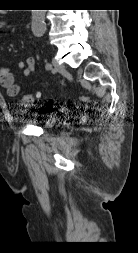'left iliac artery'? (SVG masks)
<instances>
[{"instance_id":"44dca946","label":"left iliac artery","mask_w":138,"mask_h":253,"mask_svg":"<svg viewBox=\"0 0 138 253\" xmlns=\"http://www.w3.org/2000/svg\"><path fill=\"white\" fill-rule=\"evenodd\" d=\"M45 67L47 70H50L52 68V65L50 63H47Z\"/></svg>"}]
</instances>
